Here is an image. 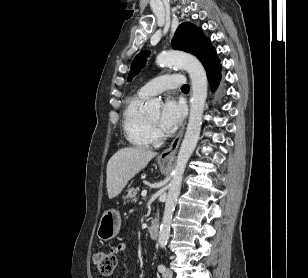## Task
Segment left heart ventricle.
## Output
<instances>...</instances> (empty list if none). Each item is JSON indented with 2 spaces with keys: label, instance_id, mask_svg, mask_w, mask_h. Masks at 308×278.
Listing matches in <instances>:
<instances>
[{
  "label": "left heart ventricle",
  "instance_id": "b2bd125f",
  "mask_svg": "<svg viewBox=\"0 0 308 278\" xmlns=\"http://www.w3.org/2000/svg\"><path fill=\"white\" fill-rule=\"evenodd\" d=\"M158 118H159V114L158 113H155V114H153V115L148 117V119L150 121L154 122V123L158 120Z\"/></svg>",
  "mask_w": 308,
  "mask_h": 278
}]
</instances>
